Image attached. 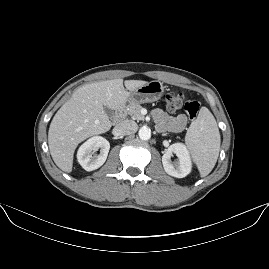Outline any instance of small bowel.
<instances>
[{
  "instance_id": "obj_1",
  "label": "small bowel",
  "mask_w": 269,
  "mask_h": 269,
  "mask_svg": "<svg viewBox=\"0 0 269 269\" xmlns=\"http://www.w3.org/2000/svg\"><path fill=\"white\" fill-rule=\"evenodd\" d=\"M153 117L157 122L159 130H169L172 132L182 131L187 124V117L184 114L177 116H169L161 109H155L153 111Z\"/></svg>"
}]
</instances>
